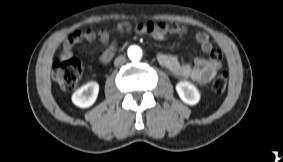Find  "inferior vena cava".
Here are the masks:
<instances>
[{
	"instance_id": "1",
	"label": "inferior vena cava",
	"mask_w": 283,
	"mask_h": 162,
	"mask_svg": "<svg viewBox=\"0 0 283 162\" xmlns=\"http://www.w3.org/2000/svg\"><path fill=\"white\" fill-rule=\"evenodd\" d=\"M125 62H126V58L124 56H118L114 61V65L115 67H119L123 65Z\"/></svg>"
}]
</instances>
